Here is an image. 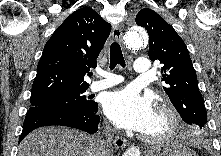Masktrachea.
<instances>
[{"mask_svg":"<svg viewBox=\"0 0 221 156\" xmlns=\"http://www.w3.org/2000/svg\"><path fill=\"white\" fill-rule=\"evenodd\" d=\"M117 64L125 67V60L120 45L117 42H113L110 47V69H114Z\"/></svg>","mask_w":221,"mask_h":156,"instance_id":"3493384b","label":"trachea"}]
</instances>
